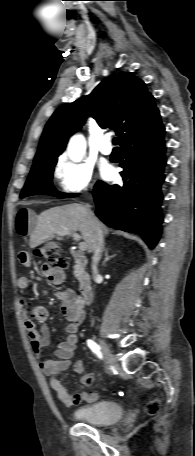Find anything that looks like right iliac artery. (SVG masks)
Listing matches in <instances>:
<instances>
[{
    "instance_id": "obj_1",
    "label": "right iliac artery",
    "mask_w": 195,
    "mask_h": 456,
    "mask_svg": "<svg viewBox=\"0 0 195 456\" xmlns=\"http://www.w3.org/2000/svg\"><path fill=\"white\" fill-rule=\"evenodd\" d=\"M87 345L98 356V358H103L99 345H97L93 340H87Z\"/></svg>"
}]
</instances>
